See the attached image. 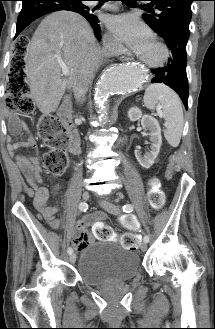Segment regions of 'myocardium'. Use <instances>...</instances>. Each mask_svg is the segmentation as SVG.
<instances>
[{"instance_id": "1", "label": "myocardium", "mask_w": 215, "mask_h": 329, "mask_svg": "<svg viewBox=\"0 0 215 329\" xmlns=\"http://www.w3.org/2000/svg\"><path fill=\"white\" fill-rule=\"evenodd\" d=\"M153 44L160 52V55L158 58H156L155 60H147V59L143 58L141 55H138L137 58L141 63H143L145 66H147L149 68L163 67L167 63V61L170 57V50H169L168 46L160 40H154Z\"/></svg>"}]
</instances>
